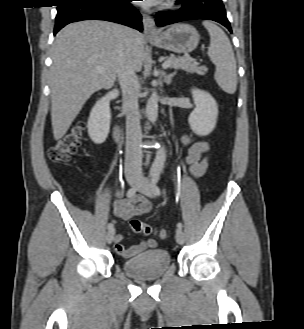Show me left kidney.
<instances>
[{
    "label": "left kidney",
    "instance_id": "left-kidney-1",
    "mask_svg": "<svg viewBox=\"0 0 304 329\" xmlns=\"http://www.w3.org/2000/svg\"><path fill=\"white\" fill-rule=\"evenodd\" d=\"M195 108L189 115L188 122L192 131L199 136L210 134L217 123L218 106L215 99L200 89L191 90Z\"/></svg>",
    "mask_w": 304,
    "mask_h": 329
}]
</instances>
